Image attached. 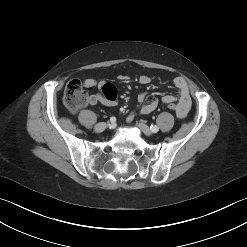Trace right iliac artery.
<instances>
[{
	"instance_id": "right-iliac-artery-1",
	"label": "right iliac artery",
	"mask_w": 247,
	"mask_h": 247,
	"mask_svg": "<svg viewBox=\"0 0 247 247\" xmlns=\"http://www.w3.org/2000/svg\"><path fill=\"white\" fill-rule=\"evenodd\" d=\"M110 121H111V123H114L116 121V118L115 117H111Z\"/></svg>"
}]
</instances>
